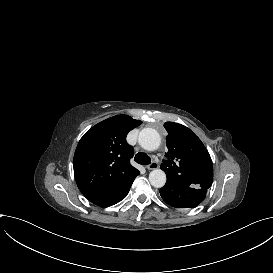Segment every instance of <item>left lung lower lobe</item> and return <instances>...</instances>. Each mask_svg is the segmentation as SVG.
<instances>
[{
  "label": "left lung lower lobe",
  "mask_w": 273,
  "mask_h": 273,
  "mask_svg": "<svg viewBox=\"0 0 273 273\" xmlns=\"http://www.w3.org/2000/svg\"><path fill=\"white\" fill-rule=\"evenodd\" d=\"M207 189L195 188L167 180L160 189L163 200L175 208H194L205 198Z\"/></svg>",
  "instance_id": "obj_1"
}]
</instances>
